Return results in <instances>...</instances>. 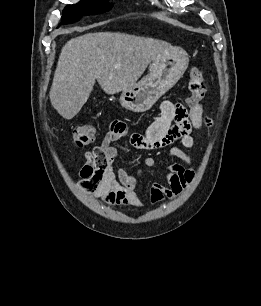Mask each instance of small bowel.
Returning <instances> with one entry per match:
<instances>
[{"instance_id": "c3829d8e", "label": "small bowel", "mask_w": 261, "mask_h": 306, "mask_svg": "<svg viewBox=\"0 0 261 306\" xmlns=\"http://www.w3.org/2000/svg\"><path fill=\"white\" fill-rule=\"evenodd\" d=\"M210 120L204 115V107L198 104L187 110L183 105L164 101L160 107V115L148 126L144 133H128L122 122H113L104 136L101 147L106 154V165L103 169L94 166L90 158L80 170V176L91 182V196L102 198L110 206L127 205L142 208L143 203L137 195L138 178L143 167H154L156 160L152 156L144 158L142 165L134 174L124 169H116L114 162L118 149L112 143L128 136L133 147L140 150H154L169 147L171 157L180 160L182 164L174 163L168 166L165 183L154 182L149 189L153 203H160L165 198H176L181 194L193 178L191 157L186 150L194 147V131H201ZM179 143L184 149L175 146Z\"/></svg>"}]
</instances>
